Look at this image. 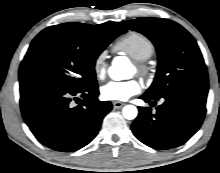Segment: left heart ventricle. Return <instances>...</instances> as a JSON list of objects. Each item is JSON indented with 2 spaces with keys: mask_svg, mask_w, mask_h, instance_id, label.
Instances as JSON below:
<instances>
[{
  "mask_svg": "<svg viewBox=\"0 0 220 173\" xmlns=\"http://www.w3.org/2000/svg\"><path fill=\"white\" fill-rule=\"evenodd\" d=\"M135 71H136V69L134 68V69H133V72H135Z\"/></svg>",
  "mask_w": 220,
  "mask_h": 173,
  "instance_id": "b2bd125f",
  "label": "left heart ventricle"
}]
</instances>
